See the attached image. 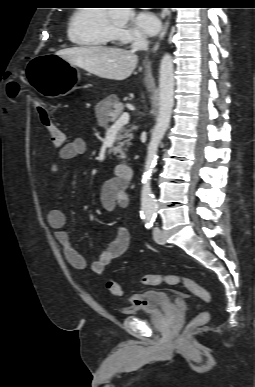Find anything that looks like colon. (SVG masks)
<instances>
[{
	"label": "colon",
	"instance_id": "obj_1",
	"mask_svg": "<svg viewBox=\"0 0 255 387\" xmlns=\"http://www.w3.org/2000/svg\"><path fill=\"white\" fill-rule=\"evenodd\" d=\"M20 93V85L17 82L8 83V95L11 99H15ZM36 109L40 118L42 125L49 132L52 143L59 150L67 144V138L65 133L59 129V127L53 121L50 111L41 105L36 103ZM141 283L146 286H160V285H169V286H182L187 289L189 292L200 298L206 303H210L211 295L210 293L203 288L201 285L196 283L194 280L179 276V275H161V274H146L142 276ZM106 288L113 296H120L122 293L120 284L114 280L109 279L106 282ZM210 318V313L205 311L199 313L195 318H193L185 327V331L189 332L196 329L208 322Z\"/></svg>",
	"mask_w": 255,
	"mask_h": 387
}]
</instances>
